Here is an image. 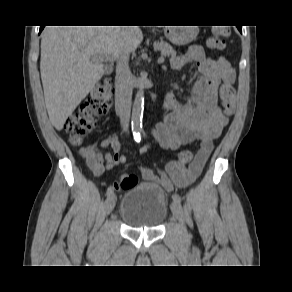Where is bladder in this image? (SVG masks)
Instances as JSON below:
<instances>
[{"label": "bladder", "instance_id": "obj_1", "mask_svg": "<svg viewBox=\"0 0 292 292\" xmlns=\"http://www.w3.org/2000/svg\"><path fill=\"white\" fill-rule=\"evenodd\" d=\"M168 201L155 184L143 183L126 190L120 205V218L131 228L152 229L166 218Z\"/></svg>", "mask_w": 292, "mask_h": 292}]
</instances>
